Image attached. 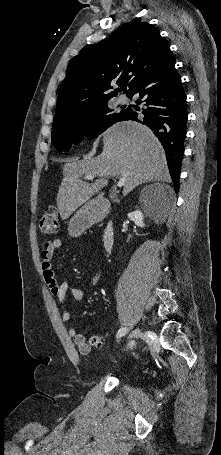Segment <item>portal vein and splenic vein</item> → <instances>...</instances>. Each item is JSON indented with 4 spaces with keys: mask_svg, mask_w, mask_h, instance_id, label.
Instances as JSON below:
<instances>
[{
    "mask_svg": "<svg viewBox=\"0 0 221 455\" xmlns=\"http://www.w3.org/2000/svg\"><path fill=\"white\" fill-rule=\"evenodd\" d=\"M94 177H95L94 175H86V178H87L88 180H92V179H94ZM125 182H126V178H125V177H122V178H120L119 181L117 182V186L121 188L122 186L125 185Z\"/></svg>",
    "mask_w": 221,
    "mask_h": 455,
    "instance_id": "portal-vein-and-splenic-vein-1",
    "label": "portal vein and splenic vein"
}]
</instances>
